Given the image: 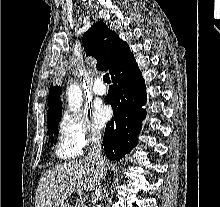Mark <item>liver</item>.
I'll return each instance as SVG.
<instances>
[{"label": "liver", "instance_id": "obj_1", "mask_svg": "<svg viewBox=\"0 0 220 207\" xmlns=\"http://www.w3.org/2000/svg\"><path fill=\"white\" fill-rule=\"evenodd\" d=\"M100 172L87 160H73L47 170L40 178L35 207H62L68 196L93 191Z\"/></svg>", "mask_w": 220, "mask_h": 207}]
</instances>
